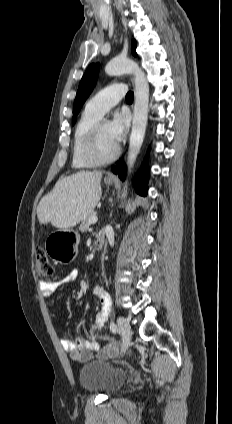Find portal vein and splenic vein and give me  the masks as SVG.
Listing matches in <instances>:
<instances>
[{"label": "portal vein and splenic vein", "instance_id": "1", "mask_svg": "<svg viewBox=\"0 0 232 424\" xmlns=\"http://www.w3.org/2000/svg\"><path fill=\"white\" fill-rule=\"evenodd\" d=\"M97 220H98V218H97L96 216H94V217H92V218L90 219V222H91V224H92V223H96V222H97Z\"/></svg>", "mask_w": 232, "mask_h": 424}]
</instances>
